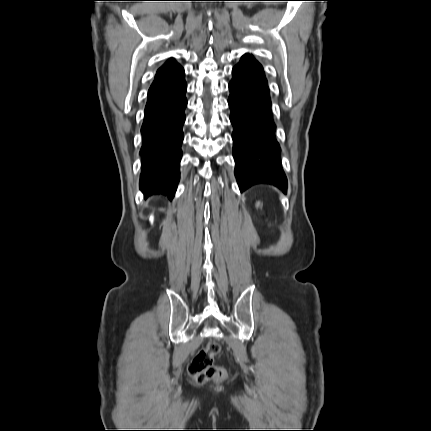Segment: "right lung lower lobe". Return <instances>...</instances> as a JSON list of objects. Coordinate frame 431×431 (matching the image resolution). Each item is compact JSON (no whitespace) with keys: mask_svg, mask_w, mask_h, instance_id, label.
<instances>
[{"mask_svg":"<svg viewBox=\"0 0 431 431\" xmlns=\"http://www.w3.org/2000/svg\"><path fill=\"white\" fill-rule=\"evenodd\" d=\"M186 86L183 76L163 90L148 95L140 150V189L145 197L163 194L172 199L177 189L187 105Z\"/></svg>","mask_w":431,"mask_h":431,"instance_id":"1","label":"right lung lower lobe"}]
</instances>
